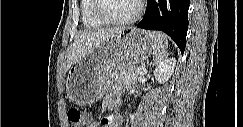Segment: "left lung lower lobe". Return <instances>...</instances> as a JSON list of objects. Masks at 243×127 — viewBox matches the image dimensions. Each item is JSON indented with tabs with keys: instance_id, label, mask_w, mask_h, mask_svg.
Returning <instances> with one entry per match:
<instances>
[{
	"instance_id": "0a47b994",
	"label": "left lung lower lobe",
	"mask_w": 243,
	"mask_h": 127,
	"mask_svg": "<svg viewBox=\"0 0 243 127\" xmlns=\"http://www.w3.org/2000/svg\"><path fill=\"white\" fill-rule=\"evenodd\" d=\"M190 0H148L146 12L137 27L168 34L183 54L188 29Z\"/></svg>"
}]
</instances>
